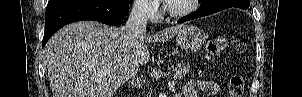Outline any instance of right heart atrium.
I'll return each instance as SVG.
<instances>
[{
  "label": "right heart atrium",
  "mask_w": 302,
  "mask_h": 97,
  "mask_svg": "<svg viewBox=\"0 0 302 97\" xmlns=\"http://www.w3.org/2000/svg\"><path fill=\"white\" fill-rule=\"evenodd\" d=\"M136 10L141 16L149 19L150 21H156L160 17V9L157 1H139L136 6Z\"/></svg>",
  "instance_id": "right-heart-atrium-1"
}]
</instances>
